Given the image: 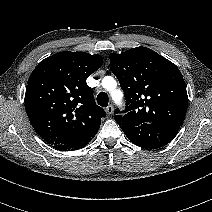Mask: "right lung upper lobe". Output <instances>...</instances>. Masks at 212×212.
Returning <instances> with one entry per match:
<instances>
[{"instance_id": "obj_1", "label": "right lung upper lobe", "mask_w": 212, "mask_h": 212, "mask_svg": "<svg viewBox=\"0 0 212 212\" xmlns=\"http://www.w3.org/2000/svg\"><path fill=\"white\" fill-rule=\"evenodd\" d=\"M102 65V57L61 52L41 61L31 73L25 93L29 120L50 145L89 142L105 111L94 101L86 79Z\"/></svg>"}]
</instances>
